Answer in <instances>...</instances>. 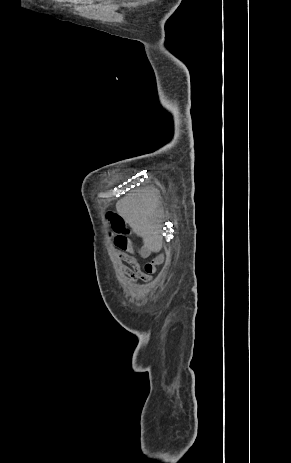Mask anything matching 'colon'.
<instances>
[{"label": "colon", "mask_w": 291, "mask_h": 463, "mask_svg": "<svg viewBox=\"0 0 291 463\" xmlns=\"http://www.w3.org/2000/svg\"><path fill=\"white\" fill-rule=\"evenodd\" d=\"M107 219L109 220V222L111 224L112 232L116 236L129 235L130 230L127 227L125 221L122 219V217H120L119 215H117L115 213L109 212L107 214ZM146 269L150 270L151 265H147Z\"/></svg>", "instance_id": "colon-1"}]
</instances>
